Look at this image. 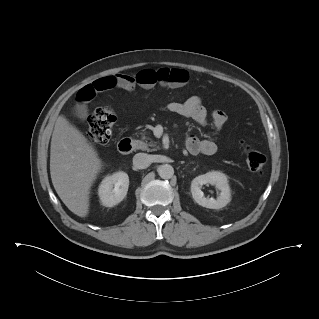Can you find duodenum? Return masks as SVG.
<instances>
[{"label": "duodenum", "mask_w": 319, "mask_h": 319, "mask_svg": "<svg viewBox=\"0 0 319 319\" xmlns=\"http://www.w3.org/2000/svg\"><path fill=\"white\" fill-rule=\"evenodd\" d=\"M133 141L129 138L121 139L118 143V150L122 154H127L133 149Z\"/></svg>", "instance_id": "410a0bca"}]
</instances>
